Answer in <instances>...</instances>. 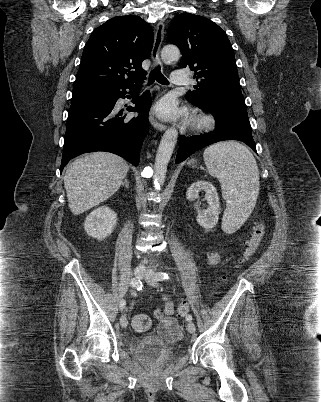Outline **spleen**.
<instances>
[{
    "label": "spleen",
    "instance_id": "3e777b00",
    "mask_svg": "<svg viewBox=\"0 0 321 402\" xmlns=\"http://www.w3.org/2000/svg\"><path fill=\"white\" fill-rule=\"evenodd\" d=\"M207 171L216 177L226 201L222 229L237 230L255 207L259 194V169L247 147L222 141L207 147L203 154Z\"/></svg>",
    "mask_w": 321,
    "mask_h": 402
}]
</instances>
